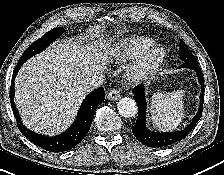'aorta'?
<instances>
[{
  "instance_id": "aorta-1",
  "label": "aorta",
  "mask_w": 224,
  "mask_h": 175,
  "mask_svg": "<svg viewBox=\"0 0 224 175\" xmlns=\"http://www.w3.org/2000/svg\"><path fill=\"white\" fill-rule=\"evenodd\" d=\"M117 109L123 117H132L137 111L138 107L134 99L129 97L121 98L117 103Z\"/></svg>"
}]
</instances>
